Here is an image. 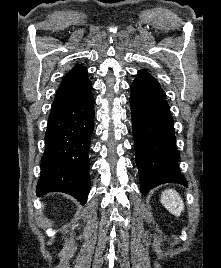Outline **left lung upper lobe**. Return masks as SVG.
Returning <instances> with one entry per match:
<instances>
[{"mask_svg": "<svg viewBox=\"0 0 221 268\" xmlns=\"http://www.w3.org/2000/svg\"><path fill=\"white\" fill-rule=\"evenodd\" d=\"M138 77L147 79L149 81H154L157 82V80L155 78H153L147 71L145 70H140L138 71ZM158 83V82H157Z\"/></svg>", "mask_w": 221, "mask_h": 268, "instance_id": "5c2ea615", "label": "left lung upper lobe"}]
</instances>
